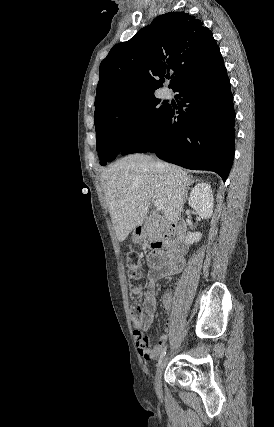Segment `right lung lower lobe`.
<instances>
[{"label":"right lung lower lobe","instance_id":"1","mask_svg":"<svg viewBox=\"0 0 274 427\" xmlns=\"http://www.w3.org/2000/svg\"><path fill=\"white\" fill-rule=\"evenodd\" d=\"M173 91L179 92V111L169 106L145 137L120 154L155 152L188 169L214 171L225 181L234 157L235 112L224 64L191 76Z\"/></svg>","mask_w":274,"mask_h":427}]
</instances>
